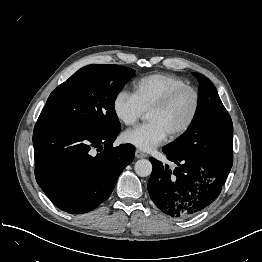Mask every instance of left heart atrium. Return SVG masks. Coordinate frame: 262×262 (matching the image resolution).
I'll return each mask as SVG.
<instances>
[{
  "label": "left heart atrium",
  "mask_w": 262,
  "mask_h": 262,
  "mask_svg": "<svg viewBox=\"0 0 262 262\" xmlns=\"http://www.w3.org/2000/svg\"><path fill=\"white\" fill-rule=\"evenodd\" d=\"M167 132L157 122L150 121L126 131L123 139L141 150L150 151L166 141Z\"/></svg>",
  "instance_id": "obj_1"
}]
</instances>
